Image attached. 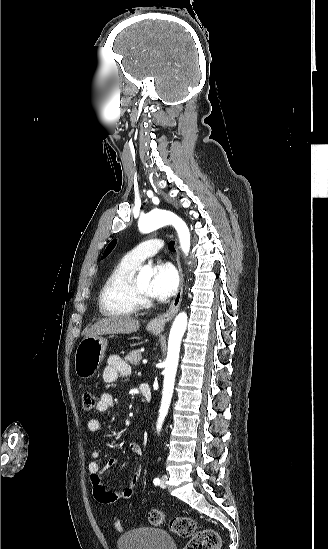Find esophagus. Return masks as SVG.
<instances>
[{"mask_svg": "<svg viewBox=\"0 0 328 549\" xmlns=\"http://www.w3.org/2000/svg\"><path fill=\"white\" fill-rule=\"evenodd\" d=\"M176 262H177V265H178V272H179L178 291H177L176 296L174 297V300L172 301V303L170 304V306L168 307L166 312H164V314L158 315L157 317H155L154 319H152L149 322V325L154 330H163L165 325L167 324V322H169L170 320H172L175 317V315L178 312L180 303H181V299H182V295H183V280L184 279H183V270H182V267H181V262H180V257H179V250H178L177 245H176Z\"/></svg>", "mask_w": 328, "mask_h": 549, "instance_id": "obj_1", "label": "esophagus"}]
</instances>
